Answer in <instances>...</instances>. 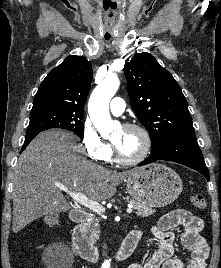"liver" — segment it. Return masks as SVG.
<instances>
[{
    "instance_id": "liver-1",
    "label": "liver",
    "mask_w": 221,
    "mask_h": 268,
    "mask_svg": "<svg viewBox=\"0 0 221 268\" xmlns=\"http://www.w3.org/2000/svg\"><path fill=\"white\" fill-rule=\"evenodd\" d=\"M75 140L70 132L48 130L20 155L13 181L14 233L42 216L69 210L56 184L103 201L112 198L116 187L134 172L117 173L88 161L80 155L82 148Z\"/></svg>"
}]
</instances>
